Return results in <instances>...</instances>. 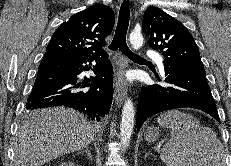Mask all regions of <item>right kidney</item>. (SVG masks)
I'll return each instance as SVG.
<instances>
[{
  "label": "right kidney",
  "instance_id": "obj_1",
  "mask_svg": "<svg viewBox=\"0 0 231 166\" xmlns=\"http://www.w3.org/2000/svg\"><path fill=\"white\" fill-rule=\"evenodd\" d=\"M60 166H77V165L73 162L68 161V162L61 163Z\"/></svg>",
  "mask_w": 231,
  "mask_h": 166
}]
</instances>
